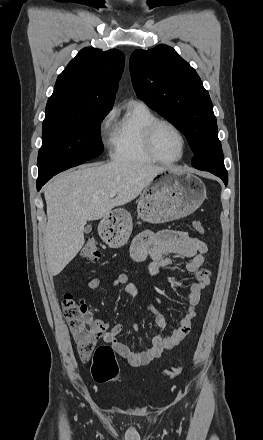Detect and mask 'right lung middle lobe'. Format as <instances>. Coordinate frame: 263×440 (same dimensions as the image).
I'll use <instances>...</instances> for the list:
<instances>
[{"mask_svg":"<svg viewBox=\"0 0 263 440\" xmlns=\"http://www.w3.org/2000/svg\"><path fill=\"white\" fill-rule=\"evenodd\" d=\"M109 111L46 116L38 154V178L54 176L100 155V125Z\"/></svg>","mask_w":263,"mask_h":440,"instance_id":"dd1d6c3e","label":"right lung middle lobe"}]
</instances>
